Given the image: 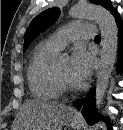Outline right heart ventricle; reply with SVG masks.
I'll return each instance as SVG.
<instances>
[{
	"instance_id": "e07e8e85",
	"label": "right heart ventricle",
	"mask_w": 123,
	"mask_h": 130,
	"mask_svg": "<svg viewBox=\"0 0 123 130\" xmlns=\"http://www.w3.org/2000/svg\"><path fill=\"white\" fill-rule=\"evenodd\" d=\"M58 51L41 43L36 48L27 70V78L32 95L40 100H55L60 91L54 80L52 58Z\"/></svg>"
}]
</instances>
